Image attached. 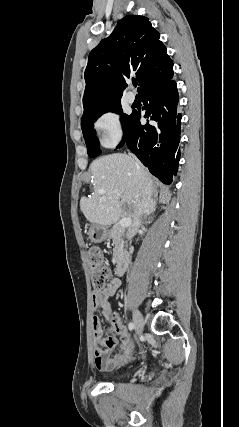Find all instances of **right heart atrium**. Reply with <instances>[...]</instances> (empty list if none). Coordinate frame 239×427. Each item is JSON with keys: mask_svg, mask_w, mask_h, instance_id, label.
Returning a JSON list of instances; mask_svg holds the SVG:
<instances>
[{"mask_svg": "<svg viewBox=\"0 0 239 427\" xmlns=\"http://www.w3.org/2000/svg\"><path fill=\"white\" fill-rule=\"evenodd\" d=\"M102 144L108 148L117 146L123 138V126L120 116L114 111L101 114L95 122Z\"/></svg>", "mask_w": 239, "mask_h": 427, "instance_id": "obj_1", "label": "right heart atrium"}]
</instances>
